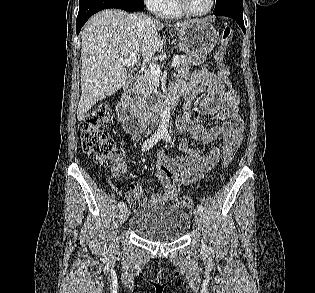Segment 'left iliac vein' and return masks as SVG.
Segmentation results:
<instances>
[{
	"mask_svg": "<svg viewBox=\"0 0 315 293\" xmlns=\"http://www.w3.org/2000/svg\"><path fill=\"white\" fill-rule=\"evenodd\" d=\"M193 218H194V221H195L196 225L198 226V228H200L202 225V220H203L201 211L194 210Z\"/></svg>",
	"mask_w": 315,
	"mask_h": 293,
	"instance_id": "left-iliac-vein-1",
	"label": "left iliac vein"
}]
</instances>
